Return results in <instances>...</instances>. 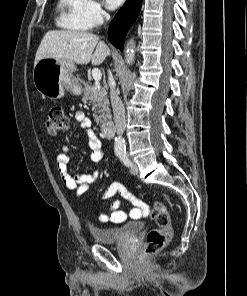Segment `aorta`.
I'll list each match as a JSON object with an SVG mask.
<instances>
[{
  "mask_svg": "<svg viewBox=\"0 0 247 296\" xmlns=\"http://www.w3.org/2000/svg\"><path fill=\"white\" fill-rule=\"evenodd\" d=\"M135 45L134 41L130 40L127 44L126 51H125V58L128 64H132L135 57ZM124 147V140L121 137L116 138L115 140V148H123Z\"/></svg>",
  "mask_w": 247,
  "mask_h": 296,
  "instance_id": "762f6f07",
  "label": "aorta"
}]
</instances>
